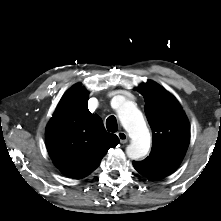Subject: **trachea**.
I'll list each match as a JSON object with an SVG mask.
<instances>
[{
  "instance_id": "obj_1",
  "label": "trachea",
  "mask_w": 221,
  "mask_h": 221,
  "mask_svg": "<svg viewBox=\"0 0 221 221\" xmlns=\"http://www.w3.org/2000/svg\"><path fill=\"white\" fill-rule=\"evenodd\" d=\"M106 127L109 132H116L118 130L117 121L114 116H109L107 118Z\"/></svg>"
}]
</instances>
